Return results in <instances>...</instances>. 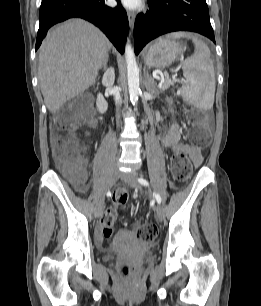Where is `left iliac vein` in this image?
<instances>
[{
	"label": "left iliac vein",
	"instance_id": "obj_1",
	"mask_svg": "<svg viewBox=\"0 0 261 306\" xmlns=\"http://www.w3.org/2000/svg\"><path fill=\"white\" fill-rule=\"evenodd\" d=\"M120 178L122 181L128 184L131 188L141 189L140 184L138 183L134 172L121 173ZM155 214L158 220L161 221L164 219L165 213H164V208L162 207V205L160 204L156 205Z\"/></svg>",
	"mask_w": 261,
	"mask_h": 306
}]
</instances>
